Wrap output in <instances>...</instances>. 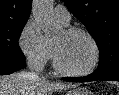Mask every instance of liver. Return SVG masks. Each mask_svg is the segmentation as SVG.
<instances>
[{"label":"liver","mask_w":119,"mask_h":95,"mask_svg":"<svg viewBox=\"0 0 119 95\" xmlns=\"http://www.w3.org/2000/svg\"><path fill=\"white\" fill-rule=\"evenodd\" d=\"M27 72H16L0 76V95H52L55 91H62L75 85L51 82L43 78L30 79Z\"/></svg>","instance_id":"6515ba94"}]
</instances>
